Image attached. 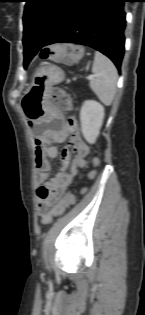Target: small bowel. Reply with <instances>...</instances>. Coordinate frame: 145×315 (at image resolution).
<instances>
[{"instance_id":"obj_1","label":"small bowel","mask_w":145,"mask_h":315,"mask_svg":"<svg viewBox=\"0 0 145 315\" xmlns=\"http://www.w3.org/2000/svg\"><path fill=\"white\" fill-rule=\"evenodd\" d=\"M71 133L69 147L75 153L70 170L65 171L70 160V148L63 149L60 158V169L58 174L46 182L50 170L49 159L56 158L58 155V147L51 144V141L62 142ZM31 147H35L34 165L36 169L35 181L39 185L38 188V211L41 215L42 223L48 224L49 208L58 200L72 184L77 176L78 170L86 165V159L89 148L81 139L76 131L75 121L69 119L66 127L59 132L52 134L46 131L41 140H31ZM90 178L94 176V172L88 174Z\"/></svg>"}]
</instances>
